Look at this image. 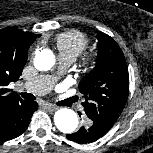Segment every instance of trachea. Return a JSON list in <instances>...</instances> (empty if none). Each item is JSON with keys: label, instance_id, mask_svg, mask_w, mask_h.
Returning <instances> with one entry per match:
<instances>
[{"label": "trachea", "instance_id": "trachea-1", "mask_svg": "<svg viewBox=\"0 0 153 153\" xmlns=\"http://www.w3.org/2000/svg\"><path fill=\"white\" fill-rule=\"evenodd\" d=\"M20 95H21L25 100H28V101H33V100H35V96L32 95L31 93H20Z\"/></svg>", "mask_w": 153, "mask_h": 153}]
</instances>
